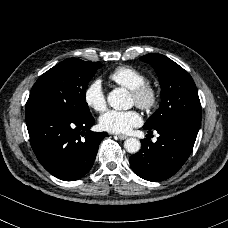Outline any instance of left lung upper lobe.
Returning <instances> with one entry per match:
<instances>
[{"label":"left lung upper lobe","mask_w":228,"mask_h":228,"mask_svg":"<svg viewBox=\"0 0 228 228\" xmlns=\"http://www.w3.org/2000/svg\"><path fill=\"white\" fill-rule=\"evenodd\" d=\"M156 71L161 85L159 109L146 121L145 129H156L172 121L200 126L201 105L196 85L190 74L177 63L158 53L140 58Z\"/></svg>","instance_id":"obj_1"}]
</instances>
